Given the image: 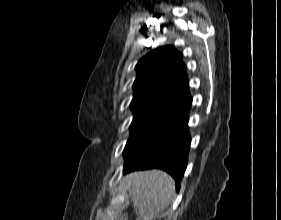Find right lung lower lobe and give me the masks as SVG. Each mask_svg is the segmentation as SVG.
Wrapping results in <instances>:
<instances>
[{
    "label": "right lung lower lobe",
    "mask_w": 281,
    "mask_h": 220,
    "mask_svg": "<svg viewBox=\"0 0 281 220\" xmlns=\"http://www.w3.org/2000/svg\"><path fill=\"white\" fill-rule=\"evenodd\" d=\"M190 105L170 122L124 166V173L151 168H160L170 173L179 189L187 167L190 149L188 114Z\"/></svg>",
    "instance_id": "1"
}]
</instances>
